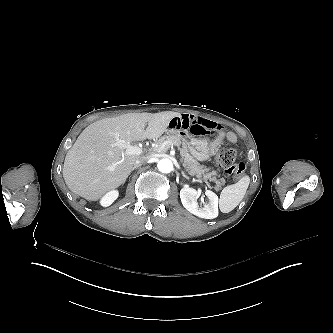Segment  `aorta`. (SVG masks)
<instances>
[{
	"label": "aorta",
	"instance_id": "obj_1",
	"mask_svg": "<svg viewBox=\"0 0 333 333\" xmlns=\"http://www.w3.org/2000/svg\"><path fill=\"white\" fill-rule=\"evenodd\" d=\"M158 169L162 173H170L173 169V163L170 159L163 158L157 163Z\"/></svg>",
	"mask_w": 333,
	"mask_h": 333
}]
</instances>
